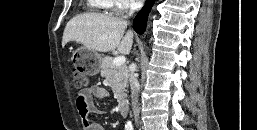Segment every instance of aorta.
Listing matches in <instances>:
<instances>
[{"instance_id":"aorta-1","label":"aorta","mask_w":257,"mask_h":130,"mask_svg":"<svg viewBox=\"0 0 257 130\" xmlns=\"http://www.w3.org/2000/svg\"><path fill=\"white\" fill-rule=\"evenodd\" d=\"M125 128L127 130H131L132 129V123L130 121H128L126 124H125Z\"/></svg>"}]
</instances>
